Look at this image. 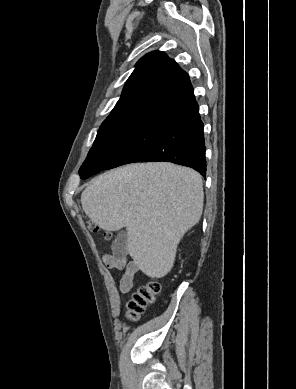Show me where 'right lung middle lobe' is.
<instances>
[{
    "instance_id": "1",
    "label": "right lung middle lobe",
    "mask_w": 296,
    "mask_h": 389,
    "mask_svg": "<svg viewBox=\"0 0 296 389\" xmlns=\"http://www.w3.org/2000/svg\"><path fill=\"white\" fill-rule=\"evenodd\" d=\"M175 122L176 119L152 113L124 119L107 118L100 126L94 144L81 167L100 172L140 162Z\"/></svg>"
}]
</instances>
